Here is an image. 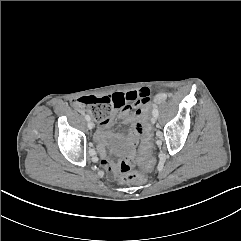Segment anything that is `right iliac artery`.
I'll return each mask as SVG.
<instances>
[{"label": "right iliac artery", "mask_w": 241, "mask_h": 241, "mask_svg": "<svg viewBox=\"0 0 241 241\" xmlns=\"http://www.w3.org/2000/svg\"><path fill=\"white\" fill-rule=\"evenodd\" d=\"M85 119H86L87 121H89V120H90V116L86 115V116H85Z\"/></svg>", "instance_id": "obj_1"}]
</instances>
